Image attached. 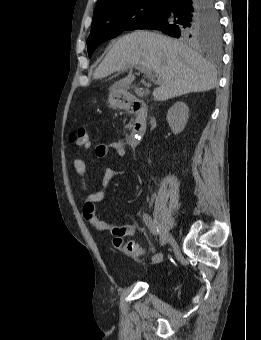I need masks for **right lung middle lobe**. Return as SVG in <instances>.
<instances>
[{"label":"right lung middle lobe","mask_w":261,"mask_h":340,"mask_svg":"<svg viewBox=\"0 0 261 340\" xmlns=\"http://www.w3.org/2000/svg\"><path fill=\"white\" fill-rule=\"evenodd\" d=\"M162 1L134 2L112 9L95 21L93 20L91 32L87 39L89 57L92 56L99 44L118 36L123 31L139 29L143 24L151 20L158 12ZM179 37L192 42L209 40L219 43L221 40V27L217 13L190 16L184 23Z\"/></svg>","instance_id":"right-lung-middle-lobe-1"}]
</instances>
